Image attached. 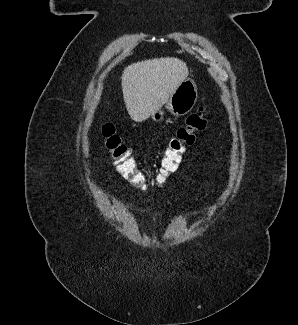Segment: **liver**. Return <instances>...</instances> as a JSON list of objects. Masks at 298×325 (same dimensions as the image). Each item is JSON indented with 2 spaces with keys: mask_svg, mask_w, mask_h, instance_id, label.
I'll return each mask as SVG.
<instances>
[{
  "mask_svg": "<svg viewBox=\"0 0 298 325\" xmlns=\"http://www.w3.org/2000/svg\"><path fill=\"white\" fill-rule=\"evenodd\" d=\"M187 62L177 56H160L132 62L122 70L121 88L126 110L136 122L162 108L187 78Z\"/></svg>",
  "mask_w": 298,
  "mask_h": 325,
  "instance_id": "liver-1",
  "label": "liver"
}]
</instances>
